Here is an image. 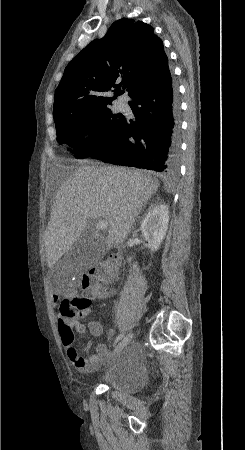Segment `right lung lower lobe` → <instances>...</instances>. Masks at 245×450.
<instances>
[{"mask_svg": "<svg viewBox=\"0 0 245 450\" xmlns=\"http://www.w3.org/2000/svg\"><path fill=\"white\" fill-rule=\"evenodd\" d=\"M132 98L129 105L136 122L125 118L116 139L91 156L116 165L175 174L180 160L179 105L169 69Z\"/></svg>", "mask_w": 245, "mask_h": 450, "instance_id": "1", "label": "right lung lower lobe"}]
</instances>
